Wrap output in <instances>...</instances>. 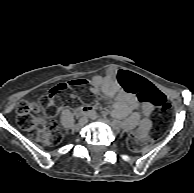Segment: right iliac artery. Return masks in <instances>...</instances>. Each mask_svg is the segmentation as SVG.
Instances as JSON below:
<instances>
[{
	"label": "right iliac artery",
	"instance_id": "right-iliac-artery-1",
	"mask_svg": "<svg viewBox=\"0 0 194 193\" xmlns=\"http://www.w3.org/2000/svg\"><path fill=\"white\" fill-rule=\"evenodd\" d=\"M79 122H84V118H81V119L79 120Z\"/></svg>",
	"mask_w": 194,
	"mask_h": 193
}]
</instances>
